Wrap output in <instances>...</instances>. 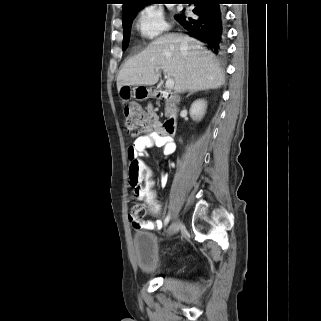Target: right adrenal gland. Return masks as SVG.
<instances>
[{"label":"right adrenal gland","mask_w":321,"mask_h":321,"mask_svg":"<svg viewBox=\"0 0 321 321\" xmlns=\"http://www.w3.org/2000/svg\"><path fill=\"white\" fill-rule=\"evenodd\" d=\"M197 91H199V90H195V91L190 92L186 97L188 98L190 95H192L193 93H195Z\"/></svg>","instance_id":"right-adrenal-gland-1"}]
</instances>
